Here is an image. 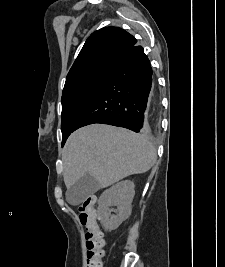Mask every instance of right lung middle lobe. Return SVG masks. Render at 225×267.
<instances>
[{
	"label": "right lung middle lobe",
	"instance_id": "obj_1",
	"mask_svg": "<svg viewBox=\"0 0 225 267\" xmlns=\"http://www.w3.org/2000/svg\"><path fill=\"white\" fill-rule=\"evenodd\" d=\"M108 73L83 78L64 87L62 93L61 131L62 146L74 131V125Z\"/></svg>",
	"mask_w": 225,
	"mask_h": 267
}]
</instances>
